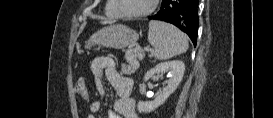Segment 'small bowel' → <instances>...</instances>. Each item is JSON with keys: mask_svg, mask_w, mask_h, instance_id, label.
<instances>
[{"mask_svg": "<svg viewBox=\"0 0 273 118\" xmlns=\"http://www.w3.org/2000/svg\"><path fill=\"white\" fill-rule=\"evenodd\" d=\"M91 71L95 77V85L98 93L102 96L106 94L103 78H105L114 89L117 100L114 109L108 111V118H138L135 110V100L131 96L133 89V80L118 70L114 59L108 57H99L94 59L91 64ZM86 95L84 98H87ZM90 114L87 118H95V113L101 109L99 101L90 103Z\"/></svg>", "mask_w": 273, "mask_h": 118, "instance_id": "1", "label": "small bowel"}]
</instances>
